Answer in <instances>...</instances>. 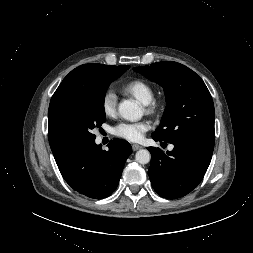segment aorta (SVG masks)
<instances>
[{"instance_id":"762f6f07","label":"aorta","mask_w":253,"mask_h":253,"mask_svg":"<svg viewBox=\"0 0 253 253\" xmlns=\"http://www.w3.org/2000/svg\"><path fill=\"white\" fill-rule=\"evenodd\" d=\"M119 113L122 118L129 121H137L142 115L143 111L138 103L134 100H124L119 104ZM151 158L150 152L147 149H141L136 152L135 160L140 164L149 163Z\"/></svg>"}]
</instances>
